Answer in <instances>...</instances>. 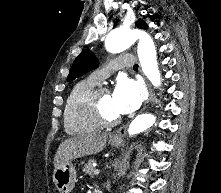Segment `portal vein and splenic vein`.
I'll return each mask as SVG.
<instances>
[{"label": "portal vein and splenic vein", "instance_id": "obj_1", "mask_svg": "<svg viewBox=\"0 0 221 193\" xmlns=\"http://www.w3.org/2000/svg\"><path fill=\"white\" fill-rule=\"evenodd\" d=\"M93 173H94V175H98L100 173V169H98V168L94 169Z\"/></svg>", "mask_w": 221, "mask_h": 193}]
</instances>
